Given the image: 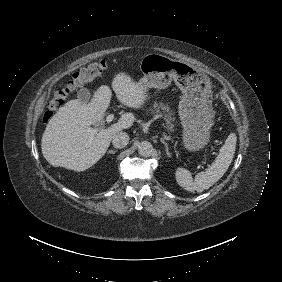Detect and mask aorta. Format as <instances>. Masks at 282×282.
Masks as SVG:
<instances>
[{
    "label": "aorta",
    "instance_id": "1",
    "mask_svg": "<svg viewBox=\"0 0 282 282\" xmlns=\"http://www.w3.org/2000/svg\"><path fill=\"white\" fill-rule=\"evenodd\" d=\"M153 150V147L149 141H142L138 144V153L141 156L148 157Z\"/></svg>",
    "mask_w": 282,
    "mask_h": 282
}]
</instances>
